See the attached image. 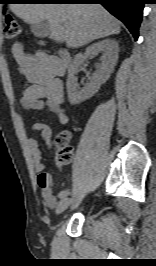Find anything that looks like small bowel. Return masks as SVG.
Masks as SVG:
<instances>
[{"mask_svg": "<svg viewBox=\"0 0 156 266\" xmlns=\"http://www.w3.org/2000/svg\"><path fill=\"white\" fill-rule=\"evenodd\" d=\"M12 55L21 74L29 82L21 97V105L28 110H48L50 115L60 123L68 122V116L63 105V87L57 77L54 67L56 59L45 52L34 55L27 54L20 43L12 46ZM32 132H40L46 147H51V129L48 125L36 122L31 127ZM28 147L37 173V184L41 190L43 201L49 207L57 203L54 194V180L45 172L42 153L34 136H29Z\"/></svg>", "mask_w": 156, "mask_h": 266, "instance_id": "c3829d8e", "label": "small bowel"}]
</instances>
